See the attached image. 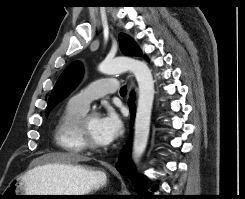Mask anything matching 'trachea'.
<instances>
[{
  "label": "trachea",
  "mask_w": 245,
  "mask_h": 199,
  "mask_svg": "<svg viewBox=\"0 0 245 199\" xmlns=\"http://www.w3.org/2000/svg\"><path fill=\"white\" fill-rule=\"evenodd\" d=\"M127 94V87L126 86H123L121 89H120V95L121 96H126Z\"/></svg>",
  "instance_id": "1"
}]
</instances>
